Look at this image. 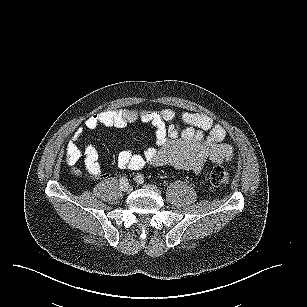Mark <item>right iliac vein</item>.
<instances>
[{"mask_svg":"<svg viewBox=\"0 0 307 307\" xmlns=\"http://www.w3.org/2000/svg\"><path fill=\"white\" fill-rule=\"evenodd\" d=\"M124 192H127V193H131L132 190H133V187L131 185H128L124 188H122Z\"/></svg>","mask_w":307,"mask_h":307,"instance_id":"1","label":"right iliac vein"}]
</instances>
